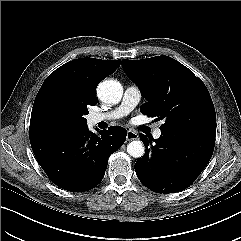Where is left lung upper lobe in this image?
Instances as JSON below:
<instances>
[{
    "label": "left lung upper lobe",
    "instance_id": "obj_1",
    "mask_svg": "<svg viewBox=\"0 0 241 241\" xmlns=\"http://www.w3.org/2000/svg\"><path fill=\"white\" fill-rule=\"evenodd\" d=\"M127 75L147 100L143 114L164 120L161 130L215 139L216 113L204 83L186 66L168 56L122 60Z\"/></svg>",
    "mask_w": 241,
    "mask_h": 241
}]
</instances>
